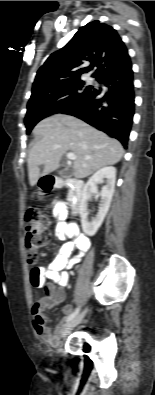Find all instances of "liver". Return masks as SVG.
I'll use <instances>...</instances> for the list:
<instances>
[{"label":"liver","mask_w":155,"mask_h":395,"mask_svg":"<svg viewBox=\"0 0 155 395\" xmlns=\"http://www.w3.org/2000/svg\"><path fill=\"white\" fill-rule=\"evenodd\" d=\"M42 136L28 156L29 183L34 186L41 176L55 171L66 152L73 153V174L85 178L95 171L118 163L123 156L120 142L86 122L69 115L56 114L34 128ZM44 165L43 171L39 166Z\"/></svg>","instance_id":"liver-1"}]
</instances>
